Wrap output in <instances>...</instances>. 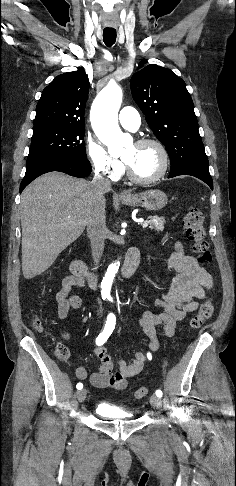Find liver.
Returning a JSON list of instances; mask_svg holds the SVG:
<instances>
[{
  "mask_svg": "<svg viewBox=\"0 0 236 486\" xmlns=\"http://www.w3.org/2000/svg\"><path fill=\"white\" fill-rule=\"evenodd\" d=\"M92 206L90 183L60 172L47 173L25 188L20 203L24 278L46 271L80 237Z\"/></svg>",
  "mask_w": 236,
  "mask_h": 486,
  "instance_id": "liver-1",
  "label": "liver"
}]
</instances>
